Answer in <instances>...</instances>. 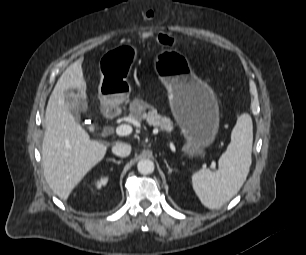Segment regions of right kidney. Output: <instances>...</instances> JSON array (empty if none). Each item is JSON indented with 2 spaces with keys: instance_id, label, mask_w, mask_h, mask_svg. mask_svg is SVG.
I'll return each mask as SVG.
<instances>
[{
  "instance_id": "ca27d5eb",
  "label": "right kidney",
  "mask_w": 306,
  "mask_h": 255,
  "mask_svg": "<svg viewBox=\"0 0 306 255\" xmlns=\"http://www.w3.org/2000/svg\"><path fill=\"white\" fill-rule=\"evenodd\" d=\"M107 182H108V177L104 176L95 182V186L97 189H100L102 186H105Z\"/></svg>"
}]
</instances>
